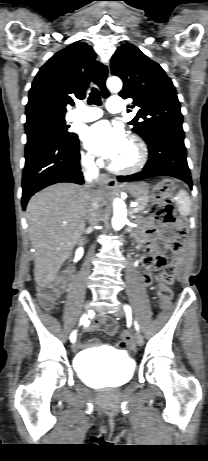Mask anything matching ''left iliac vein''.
<instances>
[{"label":"left iliac vein","mask_w":208,"mask_h":461,"mask_svg":"<svg viewBox=\"0 0 208 461\" xmlns=\"http://www.w3.org/2000/svg\"><path fill=\"white\" fill-rule=\"evenodd\" d=\"M124 314L125 312L121 307H118L114 312V315L118 317H122L124 316ZM136 342L139 346L143 345V342H144L143 336L139 331L136 332Z\"/></svg>","instance_id":"obj_1"}]
</instances>
